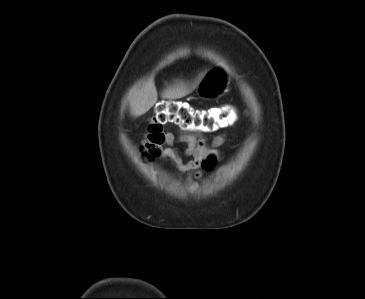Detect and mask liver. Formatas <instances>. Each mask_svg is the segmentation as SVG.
Returning a JSON list of instances; mask_svg holds the SVG:
<instances>
[{
    "label": "liver",
    "instance_id": "liver-1",
    "mask_svg": "<svg viewBox=\"0 0 365 299\" xmlns=\"http://www.w3.org/2000/svg\"><path fill=\"white\" fill-rule=\"evenodd\" d=\"M202 76L192 85L183 83L176 84L165 90L162 97L166 99H179L190 94L199 84ZM158 94L153 80H149L142 86L135 88L131 93V113L134 117H139L150 110L157 102Z\"/></svg>",
    "mask_w": 365,
    "mask_h": 299
}]
</instances>
